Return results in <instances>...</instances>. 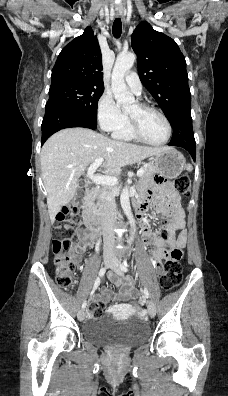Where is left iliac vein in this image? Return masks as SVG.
<instances>
[{
    "instance_id": "4c4485c4",
    "label": "left iliac vein",
    "mask_w": 228,
    "mask_h": 396,
    "mask_svg": "<svg viewBox=\"0 0 228 396\" xmlns=\"http://www.w3.org/2000/svg\"><path fill=\"white\" fill-rule=\"evenodd\" d=\"M111 269L117 274V275H123V271L120 267V262L117 259H114L111 265ZM148 313L150 317H154L156 314V309L155 306L152 302L148 303Z\"/></svg>"
}]
</instances>
